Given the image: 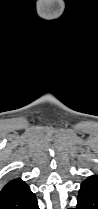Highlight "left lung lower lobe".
<instances>
[{
	"mask_svg": "<svg viewBox=\"0 0 98 209\" xmlns=\"http://www.w3.org/2000/svg\"><path fill=\"white\" fill-rule=\"evenodd\" d=\"M74 209H98V176H90L81 183Z\"/></svg>",
	"mask_w": 98,
	"mask_h": 209,
	"instance_id": "0a47b994",
	"label": "left lung lower lobe"
}]
</instances>
